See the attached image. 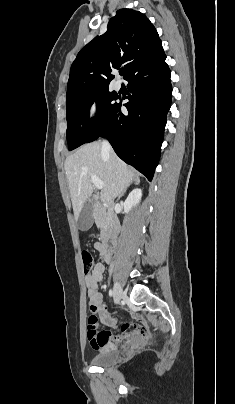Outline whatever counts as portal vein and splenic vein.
<instances>
[{"label":"portal vein and splenic vein","mask_w":235,"mask_h":404,"mask_svg":"<svg viewBox=\"0 0 235 404\" xmlns=\"http://www.w3.org/2000/svg\"><path fill=\"white\" fill-rule=\"evenodd\" d=\"M93 184L95 185V187H97L98 189H102L104 186L103 181H101L97 176H92L91 177Z\"/></svg>","instance_id":"obj_1"}]
</instances>
